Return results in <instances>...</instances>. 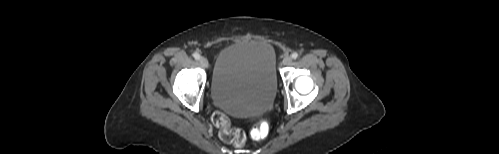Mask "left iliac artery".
<instances>
[{"label":"left iliac artery","instance_id":"left-iliac-artery-1","mask_svg":"<svg viewBox=\"0 0 499 154\" xmlns=\"http://www.w3.org/2000/svg\"><path fill=\"white\" fill-rule=\"evenodd\" d=\"M298 56H299V55H298V53H297V52H294V53H292V55H291V57H292L293 59H297V58H298Z\"/></svg>","mask_w":499,"mask_h":154}]
</instances>
